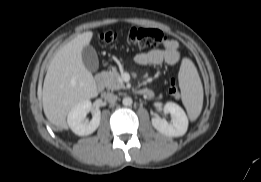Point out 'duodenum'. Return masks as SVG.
<instances>
[{
  "mask_svg": "<svg viewBox=\"0 0 261 182\" xmlns=\"http://www.w3.org/2000/svg\"><path fill=\"white\" fill-rule=\"evenodd\" d=\"M95 84L99 90L104 89V82H103V79L101 78V76L96 77ZM137 92L143 96H148V97L152 96V91L147 88H140L137 90Z\"/></svg>",
  "mask_w": 261,
  "mask_h": 182,
  "instance_id": "obj_1",
  "label": "duodenum"
}]
</instances>
